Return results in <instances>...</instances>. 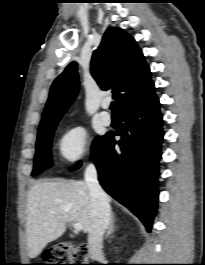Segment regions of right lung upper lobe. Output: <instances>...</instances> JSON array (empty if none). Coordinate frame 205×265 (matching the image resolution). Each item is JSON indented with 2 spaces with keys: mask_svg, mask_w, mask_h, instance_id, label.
I'll return each instance as SVG.
<instances>
[{
  "mask_svg": "<svg viewBox=\"0 0 205 265\" xmlns=\"http://www.w3.org/2000/svg\"><path fill=\"white\" fill-rule=\"evenodd\" d=\"M91 74L103 90L112 88L119 112L133 107L154 92L150 68L133 37L108 28L91 60ZM79 88L77 63L71 62L54 80L39 130L57 124Z\"/></svg>",
  "mask_w": 205,
  "mask_h": 265,
  "instance_id": "1",
  "label": "right lung upper lobe"
}]
</instances>
